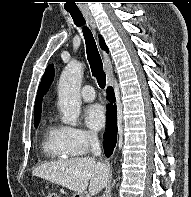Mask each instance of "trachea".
Here are the masks:
<instances>
[{
  "label": "trachea",
  "instance_id": "1",
  "mask_svg": "<svg viewBox=\"0 0 191 197\" xmlns=\"http://www.w3.org/2000/svg\"><path fill=\"white\" fill-rule=\"evenodd\" d=\"M74 23L77 26H83V33L86 44V52L87 58L91 67L92 75L96 78L98 85L100 88H104L106 85V75L103 71V63L100 57L99 51L97 49L96 42L94 37L89 30V28L85 27V19L80 12H70Z\"/></svg>",
  "mask_w": 191,
  "mask_h": 197
}]
</instances>
